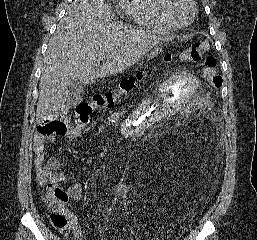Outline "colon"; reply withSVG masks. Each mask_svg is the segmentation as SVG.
I'll return each instance as SVG.
<instances>
[{
  "instance_id": "obj_1",
  "label": "colon",
  "mask_w": 257,
  "mask_h": 240,
  "mask_svg": "<svg viewBox=\"0 0 257 240\" xmlns=\"http://www.w3.org/2000/svg\"><path fill=\"white\" fill-rule=\"evenodd\" d=\"M209 49L208 41H201L193 44L189 49L183 51L179 55L171 53L163 57L165 64L172 63L175 59L189 60L200 62L204 54ZM215 58L207 56L203 60V76L204 79L212 88H220L222 78L215 70ZM149 69L146 68L130 77H127L121 82V89L116 93H106L96 96L92 102L82 103L76 108V116L79 124H85L89 121L94 111L105 110L114 105L117 99L122 95L132 94L138 86L144 82L149 74ZM66 125L62 122L46 119L41 121L37 126V131L43 135L58 134L65 130ZM68 199L66 190L55 180L50 181L45 193V201L50 208L49 220L51 224L62 232H67L69 229V219L63 208V205Z\"/></svg>"
}]
</instances>
